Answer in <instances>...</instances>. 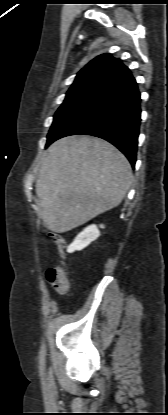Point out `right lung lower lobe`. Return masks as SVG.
<instances>
[{
    "label": "right lung lower lobe",
    "mask_w": 168,
    "mask_h": 415,
    "mask_svg": "<svg viewBox=\"0 0 168 415\" xmlns=\"http://www.w3.org/2000/svg\"><path fill=\"white\" fill-rule=\"evenodd\" d=\"M140 93L128 74L74 114L49 140L69 135H92L116 146L135 166L141 121Z\"/></svg>",
    "instance_id": "obj_1"
}]
</instances>
